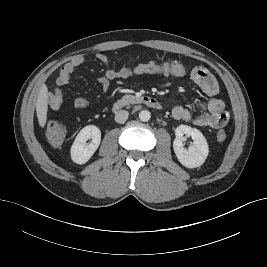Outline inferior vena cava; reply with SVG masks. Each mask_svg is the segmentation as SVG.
Here are the masks:
<instances>
[{"mask_svg":"<svg viewBox=\"0 0 267 267\" xmlns=\"http://www.w3.org/2000/svg\"><path fill=\"white\" fill-rule=\"evenodd\" d=\"M128 116H129L128 111L120 110V111L116 112V114H115V121L117 123H125L126 120L128 119Z\"/></svg>","mask_w":267,"mask_h":267,"instance_id":"inferior-vena-cava-1","label":"inferior vena cava"}]
</instances>
